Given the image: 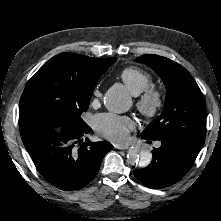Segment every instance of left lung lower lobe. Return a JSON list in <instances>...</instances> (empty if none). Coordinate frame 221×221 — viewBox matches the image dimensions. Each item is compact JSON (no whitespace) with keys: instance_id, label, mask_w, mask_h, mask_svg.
<instances>
[{"instance_id":"obj_1","label":"left lung lower lobe","mask_w":221,"mask_h":221,"mask_svg":"<svg viewBox=\"0 0 221 221\" xmlns=\"http://www.w3.org/2000/svg\"><path fill=\"white\" fill-rule=\"evenodd\" d=\"M142 138L150 140L144 136ZM160 141L161 146L153 148L151 164L133 171L137 179L153 189L168 187L181 180L191 169L199 153V150L178 141Z\"/></svg>"}]
</instances>
